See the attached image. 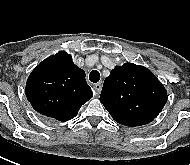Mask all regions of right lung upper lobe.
I'll return each mask as SVG.
<instances>
[{"label": "right lung upper lobe", "mask_w": 190, "mask_h": 165, "mask_svg": "<svg viewBox=\"0 0 190 165\" xmlns=\"http://www.w3.org/2000/svg\"><path fill=\"white\" fill-rule=\"evenodd\" d=\"M25 92L37 112L62 122L74 118L93 97L85 72L65 51L49 56L31 72Z\"/></svg>", "instance_id": "cb5924a9"}]
</instances>
